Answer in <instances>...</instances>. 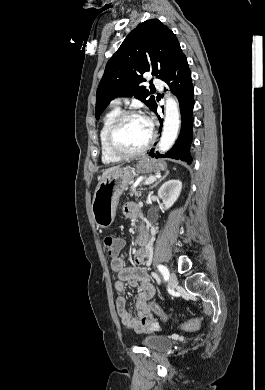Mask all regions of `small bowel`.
Listing matches in <instances>:
<instances>
[{
	"label": "small bowel",
	"instance_id": "1",
	"mask_svg": "<svg viewBox=\"0 0 265 390\" xmlns=\"http://www.w3.org/2000/svg\"><path fill=\"white\" fill-rule=\"evenodd\" d=\"M123 211L130 219H135L141 215V209L135 203H127ZM147 240L148 232L144 229L137 239L140 248L134 255L135 265L127 267L125 266V255L121 253L125 244L124 240L116 239L118 251L110 263L111 269L117 274L118 279L114 287L118 293L124 291L126 283L131 287L137 288L134 300L136 315H132L129 312L123 296H119L116 299V310L120 321L126 327L137 332L156 331L160 327L158 319L152 314V310L148 304V301L155 295V288L150 282L148 272L141 267L149 259V251L146 247Z\"/></svg>",
	"mask_w": 265,
	"mask_h": 390
}]
</instances>
